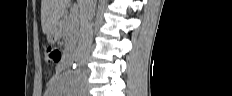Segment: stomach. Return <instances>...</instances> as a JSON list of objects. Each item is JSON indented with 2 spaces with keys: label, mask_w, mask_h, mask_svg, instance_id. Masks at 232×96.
Instances as JSON below:
<instances>
[{
  "label": "stomach",
  "mask_w": 232,
  "mask_h": 96,
  "mask_svg": "<svg viewBox=\"0 0 232 96\" xmlns=\"http://www.w3.org/2000/svg\"><path fill=\"white\" fill-rule=\"evenodd\" d=\"M61 38V29L57 26L55 29L47 34V40L49 43L54 44Z\"/></svg>",
  "instance_id": "obj_1"
}]
</instances>
